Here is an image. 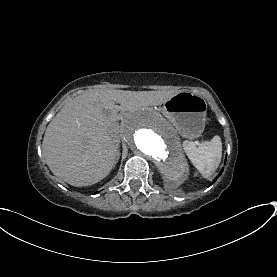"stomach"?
Instances as JSON below:
<instances>
[{"label":"stomach","instance_id":"obj_1","mask_svg":"<svg viewBox=\"0 0 277 277\" xmlns=\"http://www.w3.org/2000/svg\"><path fill=\"white\" fill-rule=\"evenodd\" d=\"M162 111L183 137L194 139L202 134L206 122V102L202 97L179 92L163 103Z\"/></svg>","mask_w":277,"mask_h":277}]
</instances>
